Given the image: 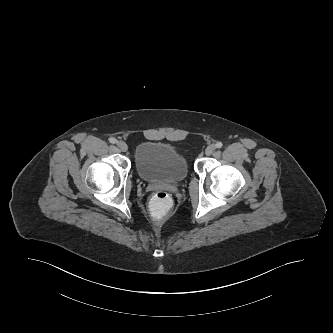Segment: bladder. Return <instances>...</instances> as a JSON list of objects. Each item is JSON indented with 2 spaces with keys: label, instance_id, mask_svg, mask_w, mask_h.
Instances as JSON below:
<instances>
[{
  "label": "bladder",
  "instance_id": "bladder-1",
  "mask_svg": "<svg viewBox=\"0 0 333 333\" xmlns=\"http://www.w3.org/2000/svg\"><path fill=\"white\" fill-rule=\"evenodd\" d=\"M139 177L148 182L178 183L188 174L186 157L172 146L146 141L134 151Z\"/></svg>",
  "mask_w": 333,
  "mask_h": 333
}]
</instances>
